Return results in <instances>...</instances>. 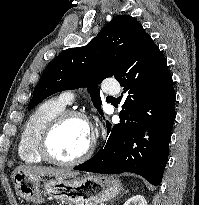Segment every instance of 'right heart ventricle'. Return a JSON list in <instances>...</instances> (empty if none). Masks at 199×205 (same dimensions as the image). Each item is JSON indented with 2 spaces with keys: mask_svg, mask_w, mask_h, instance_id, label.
<instances>
[{
  "mask_svg": "<svg viewBox=\"0 0 199 205\" xmlns=\"http://www.w3.org/2000/svg\"><path fill=\"white\" fill-rule=\"evenodd\" d=\"M66 104L61 98H52L41 103L24 125L19 145L18 154L27 164H42L44 160L37 151L38 136L42 128L55 115L65 110Z\"/></svg>",
  "mask_w": 199,
  "mask_h": 205,
  "instance_id": "obj_1",
  "label": "right heart ventricle"
}]
</instances>
